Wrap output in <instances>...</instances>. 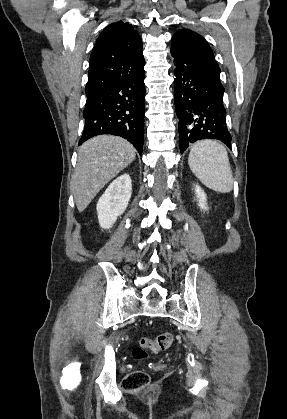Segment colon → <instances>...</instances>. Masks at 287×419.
<instances>
[{"instance_id":"colon-1","label":"colon","mask_w":287,"mask_h":419,"mask_svg":"<svg viewBox=\"0 0 287 419\" xmlns=\"http://www.w3.org/2000/svg\"><path fill=\"white\" fill-rule=\"evenodd\" d=\"M174 337L171 333L165 332L156 337L141 338L137 346L133 349L132 355L135 359L141 360L148 356L149 352L159 353L168 349L173 343ZM149 375L143 370H136L129 373L122 382L125 390H136L143 388L149 383Z\"/></svg>"}]
</instances>
